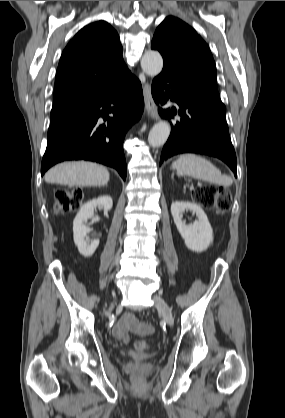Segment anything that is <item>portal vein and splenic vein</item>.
<instances>
[{
	"label": "portal vein and splenic vein",
	"mask_w": 285,
	"mask_h": 418,
	"mask_svg": "<svg viewBox=\"0 0 285 418\" xmlns=\"http://www.w3.org/2000/svg\"><path fill=\"white\" fill-rule=\"evenodd\" d=\"M198 185H199V186H201V183H200V182H198Z\"/></svg>",
	"instance_id": "obj_1"
}]
</instances>
